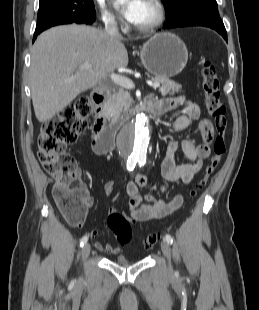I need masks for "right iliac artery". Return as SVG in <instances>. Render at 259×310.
<instances>
[{"instance_id":"obj_1","label":"right iliac artery","mask_w":259,"mask_h":310,"mask_svg":"<svg viewBox=\"0 0 259 310\" xmlns=\"http://www.w3.org/2000/svg\"><path fill=\"white\" fill-rule=\"evenodd\" d=\"M135 165H136V160H128L127 161L128 171H132L135 168ZM87 241H88V236L87 235L83 236L80 240V247H83L84 244L87 243Z\"/></svg>"}]
</instances>
